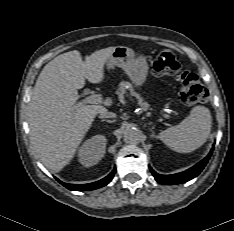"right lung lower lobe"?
<instances>
[{"label":"right lung lower lobe","mask_w":234,"mask_h":231,"mask_svg":"<svg viewBox=\"0 0 234 231\" xmlns=\"http://www.w3.org/2000/svg\"><path fill=\"white\" fill-rule=\"evenodd\" d=\"M115 171H116V168H114V170L105 178H103L99 181L93 182V183H89V184H81V185L67 184V183L61 182L58 179L57 180H58V182H60L63 186H65L69 190H73V191L94 190V189H97V188H100V187L107 185L112 180Z\"/></svg>","instance_id":"obj_1"}]
</instances>
